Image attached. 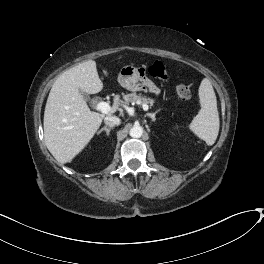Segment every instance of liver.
Returning <instances> with one entry per match:
<instances>
[{"label": "liver", "instance_id": "liver-1", "mask_svg": "<svg viewBox=\"0 0 264 264\" xmlns=\"http://www.w3.org/2000/svg\"><path fill=\"white\" fill-rule=\"evenodd\" d=\"M107 76V70H103ZM96 62L84 61L63 72L54 82L45 106L44 141L61 164L72 161L95 135L104 114L93 112L81 94H96L103 89ZM119 95L114 97L108 116L118 109Z\"/></svg>", "mask_w": 264, "mask_h": 264}]
</instances>
